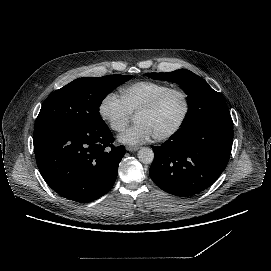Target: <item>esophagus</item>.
I'll return each instance as SVG.
<instances>
[{
  "label": "esophagus",
  "instance_id": "esophagus-1",
  "mask_svg": "<svg viewBox=\"0 0 271 271\" xmlns=\"http://www.w3.org/2000/svg\"><path fill=\"white\" fill-rule=\"evenodd\" d=\"M126 150L129 152H135L137 150H139V147L137 146H126Z\"/></svg>",
  "mask_w": 271,
  "mask_h": 271
}]
</instances>
